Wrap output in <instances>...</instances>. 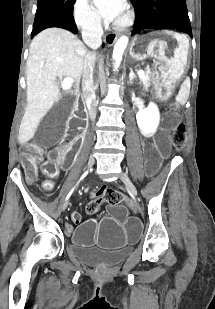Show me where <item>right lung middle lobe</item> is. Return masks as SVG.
Segmentation results:
<instances>
[{"label": "right lung middle lobe", "instance_id": "1", "mask_svg": "<svg viewBox=\"0 0 215 309\" xmlns=\"http://www.w3.org/2000/svg\"><path fill=\"white\" fill-rule=\"evenodd\" d=\"M76 0H37L32 38L45 28L61 27L76 32L73 4Z\"/></svg>", "mask_w": 215, "mask_h": 309}]
</instances>
